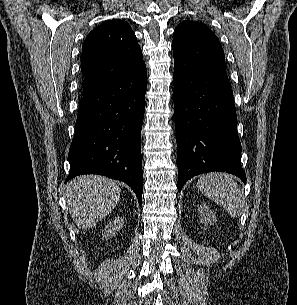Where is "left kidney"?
Instances as JSON below:
<instances>
[{
    "instance_id": "obj_1",
    "label": "left kidney",
    "mask_w": 297,
    "mask_h": 305,
    "mask_svg": "<svg viewBox=\"0 0 297 305\" xmlns=\"http://www.w3.org/2000/svg\"><path fill=\"white\" fill-rule=\"evenodd\" d=\"M200 214V220L204 224H212L216 222V216L214 212L205 204H202L198 208Z\"/></svg>"
}]
</instances>
